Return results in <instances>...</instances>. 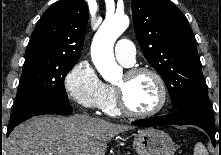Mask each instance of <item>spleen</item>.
Segmentation results:
<instances>
[{
  "label": "spleen",
  "instance_id": "3e777b00",
  "mask_svg": "<svg viewBox=\"0 0 221 155\" xmlns=\"http://www.w3.org/2000/svg\"><path fill=\"white\" fill-rule=\"evenodd\" d=\"M193 155H208V152L205 146L202 143L198 142L195 144Z\"/></svg>",
  "mask_w": 221,
  "mask_h": 155
}]
</instances>
